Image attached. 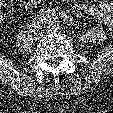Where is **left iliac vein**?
Masks as SVG:
<instances>
[{
	"mask_svg": "<svg viewBox=\"0 0 113 113\" xmlns=\"http://www.w3.org/2000/svg\"><path fill=\"white\" fill-rule=\"evenodd\" d=\"M53 28L51 27V25L46 26V31L48 32H52Z\"/></svg>",
	"mask_w": 113,
	"mask_h": 113,
	"instance_id": "1",
	"label": "left iliac vein"
}]
</instances>
